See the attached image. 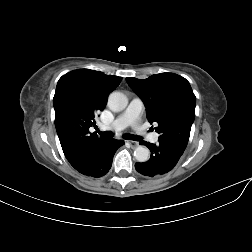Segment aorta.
Listing matches in <instances>:
<instances>
[{
  "instance_id": "762f6f07",
  "label": "aorta",
  "mask_w": 252,
  "mask_h": 252,
  "mask_svg": "<svg viewBox=\"0 0 252 252\" xmlns=\"http://www.w3.org/2000/svg\"><path fill=\"white\" fill-rule=\"evenodd\" d=\"M128 104L127 97L121 92H112L108 97V107L115 112L122 111ZM134 156L138 162H146L150 158V151L145 146H138L134 151Z\"/></svg>"
}]
</instances>
